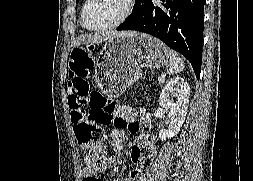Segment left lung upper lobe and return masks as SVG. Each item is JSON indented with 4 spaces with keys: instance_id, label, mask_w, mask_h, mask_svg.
<instances>
[{
    "instance_id": "obj_1",
    "label": "left lung upper lobe",
    "mask_w": 253,
    "mask_h": 181,
    "mask_svg": "<svg viewBox=\"0 0 253 181\" xmlns=\"http://www.w3.org/2000/svg\"><path fill=\"white\" fill-rule=\"evenodd\" d=\"M138 0H136V3H137ZM79 2V0H76V3Z\"/></svg>"
}]
</instances>
